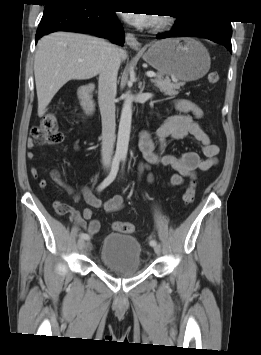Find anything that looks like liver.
<instances>
[{
	"mask_svg": "<svg viewBox=\"0 0 261 355\" xmlns=\"http://www.w3.org/2000/svg\"><path fill=\"white\" fill-rule=\"evenodd\" d=\"M108 44L101 38L68 32H55L39 40L34 60L39 117L68 81L90 79L100 73ZM117 49L121 63L126 52Z\"/></svg>",
	"mask_w": 261,
	"mask_h": 355,
	"instance_id": "liver-1",
	"label": "liver"
}]
</instances>
